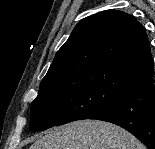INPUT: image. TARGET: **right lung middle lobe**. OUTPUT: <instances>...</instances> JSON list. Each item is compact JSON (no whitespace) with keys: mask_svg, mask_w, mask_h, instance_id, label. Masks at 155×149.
I'll return each instance as SVG.
<instances>
[{"mask_svg":"<svg viewBox=\"0 0 155 149\" xmlns=\"http://www.w3.org/2000/svg\"><path fill=\"white\" fill-rule=\"evenodd\" d=\"M146 80L140 73L119 67L44 80L32 102L29 129L42 131L89 119Z\"/></svg>","mask_w":155,"mask_h":149,"instance_id":"right-lung-middle-lobe-1","label":"right lung middle lobe"}]
</instances>
